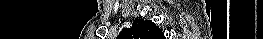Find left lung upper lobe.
I'll return each instance as SVG.
<instances>
[{"instance_id": "obj_1", "label": "left lung upper lobe", "mask_w": 263, "mask_h": 39, "mask_svg": "<svg viewBox=\"0 0 263 39\" xmlns=\"http://www.w3.org/2000/svg\"><path fill=\"white\" fill-rule=\"evenodd\" d=\"M119 39H164L162 30L152 21L137 19L131 28L123 29L118 35ZM117 38V39H118Z\"/></svg>"}]
</instances>
